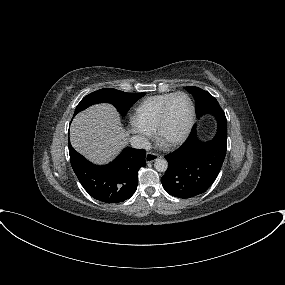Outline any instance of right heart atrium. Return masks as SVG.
<instances>
[{"label": "right heart atrium", "mask_w": 285, "mask_h": 285, "mask_svg": "<svg viewBox=\"0 0 285 285\" xmlns=\"http://www.w3.org/2000/svg\"><path fill=\"white\" fill-rule=\"evenodd\" d=\"M130 128L142 141H146L152 134V131L134 120L130 122Z\"/></svg>", "instance_id": "d8ad5b80"}]
</instances>
